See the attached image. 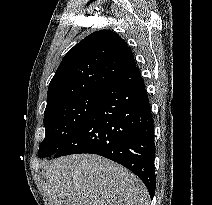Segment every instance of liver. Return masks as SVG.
Masks as SVG:
<instances>
[{
  "label": "liver",
  "instance_id": "6515ba94",
  "mask_svg": "<svg viewBox=\"0 0 212 205\" xmlns=\"http://www.w3.org/2000/svg\"><path fill=\"white\" fill-rule=\"evenodd\" d=\"M42 175L49 205H146L148 198L132 172L98 155L48 161Z\"/></svg>",
  "mask_w": 212,
  "mask_h": 205
}]
</instances>
